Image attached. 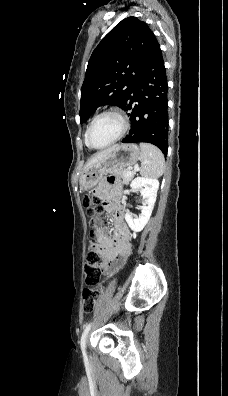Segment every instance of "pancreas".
I'll return each mask as SVG.
<instances>
[{
	"label": "pancreas",
	"instance_id": "pancreas-1",
	"mask_svg": "<svg viewBox=\"0 0 228 396\" xmlns=\"http://www.w3.org/2000/svg\"><path fill=\"white\" fill-rule=\"evenodd\" d=\"M128 171H129V170L126 169V168H115V169L113 170V172H114L115 174L119 175V176L122 178L124 184H126V185H128L129 182H130V181L132 180V178H133V172H132L131 175H127V172H128Z\"/></svg>",
	"mask_w": 228,
	"mask_h": 396
}]
</instances>
